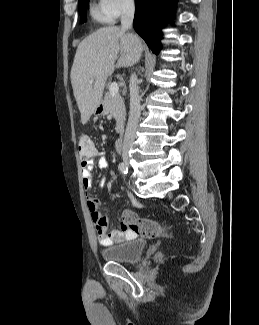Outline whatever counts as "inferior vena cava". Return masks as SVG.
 I'll return each instance as SVG.
<instances>
[{"mask_svg": "<svg viewBox=\"0 0 259 325\" xmlns=\"http://www.w3.org/2000/svg\"><path fill=\"white\" fill-rule=\"evenodd\" d=\"M133 18L134 0H125L121 15V30L126 31L130 29L132 27ZM136 81L137 76L134 74L130 84V112L123 142V149L125 151H128L134 144L141 115L139 88Z\"/></svg>", "mask_w": 259, "mask_h": 325, "instance_id": "obj_1", "label": "inferior vena cava"}]
</instances>
